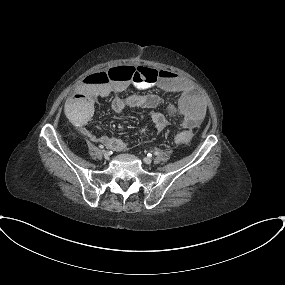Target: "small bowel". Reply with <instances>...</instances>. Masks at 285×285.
<instances>
[{
	"instance_id": "c3829d8e",
	"label": "small bowel",
	"mask_w": 285,
	"mask_h": 285,
	"mask_svg": "<svg viewBox=\"0 0 285 285\" xmlns=\"http://www.w3.org/2000/svg\"><path fill=\"white\" fill-rule=\"evenodd\" d=\"M122 66L127 65L113 68ZM109 70H100L97 71V73L107 75ZM108 79V82L105 84L88 82L84 79L77 91L68 97L64 104V111L68 119L78 126L84 135L91 139H95V137L87 129L83 128V126L93 115L95 100L99 97H110L115 93H122L132 86H137L144 90L156 88L178 96L175 105L164 102L160 96L153 93L143 95L134 94L127 97L117 96L112 99L111 109L115 113H122L129 108L151 110V120L157 133H161L168 126L167 117L163 113L155 111L156 108L162 105L166 107L171 116H177L179 118L180 125L183 129L181 133H187L189 136L191 135V131L196 128L205 117L204 105L202 99L196 93V89L189 80L175 72L162 70L155 82L141 81L138 83H129L110 77ZM99 140L115 151H123L129 147L128 141L118 138L104 136ZM175 140L178 142V135Z\"/></svg>"
}]
</instances>
